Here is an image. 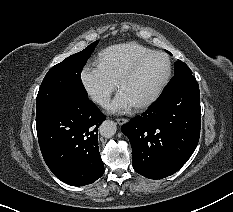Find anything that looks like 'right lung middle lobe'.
<instances>
[{
    "label": "right lung middle lobe",
    "instance_id": "obj_1",
    "mask_svg": "<svg viewBox=\"0 0 233 212\" xmlns=\"http://www.w3.org/2000/svg\"><path fill=\"white\" fill-rule=\"evenodd\" d=\"M97 43L98 40L48 71L37 95L36 120L69 99L88 98L81 81V72Z\"/></svg>",
    "mask_w": 233,
    "mask_h": 212
}]
</instances>
